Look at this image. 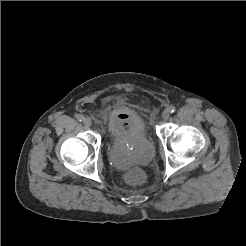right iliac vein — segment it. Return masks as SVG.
<instances>
[{
	"label": "right iliac vein",
	"instance_id": "63e3f726",
	"mask_svg": "<svg viewBox=\"0 0 246 246\" xmlns=\"http://www.w3.org/2000/svg\"><path fill=\"white\" fill-rule=\"evenodd\" d=\"M83 124L87 127L92 125V120L89 117L84 118Z\"/></svg>",
	"mask_w": 246,
	"mask_h": 246
}]
</instances>
